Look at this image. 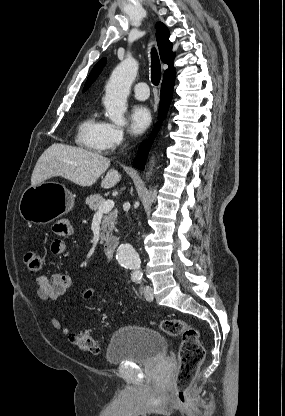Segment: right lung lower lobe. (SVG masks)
I'll list each match as a JSON object with an SVG mask.
<instances>
[{
	"mask_svg": "<svg viewBox=\"0 0 285 416\" xmlns=\"http://www.w3.org/2000/svg\"><path fill=\"white\" fill-rule=\"evenodd\" d=\"M174 80H175V75L164 79L161 85L160 110H159V115H160L161 120L165 117L170 101L172 99ZM157 129L158 127L156 128V131ZM150 146H151V141L146 142L141 145L139 152H138V157L136 158L134 162V166L136 168L141 169V170L144 169V164H145Z\"/></svg>",
	"mask_w": 285,
	"mask_h": 416,
	"instance_id": "obj_1",
	"label": "right lung lower lobe"
}]
</instances>
